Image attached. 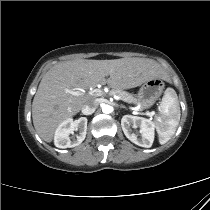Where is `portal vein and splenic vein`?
<instances>
[{
	"mask_svg": "<svg viewBox=\"0 0 210 210\" xmlns=\"http://www.w3.org/2000/svg\"><path fill=\"white\" fill-rule=\"evenodd\" d=\"M69 93L73 94V95H81L84 93V91L78 92V91H68ZM91 95H95V96H101L103 95V91L100 89H94L91 92ZM147 115H150L149 113H146Z\"/></svg>",
	"mask_w": 210,
	"mask_h": 210,
	"instance_id": "1",
	"label": "portal vein and splenic vein"
}]
</instances>
